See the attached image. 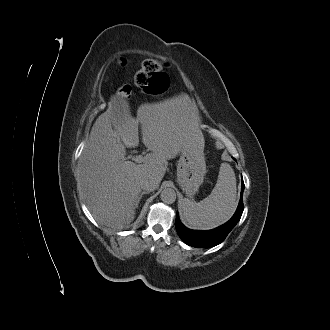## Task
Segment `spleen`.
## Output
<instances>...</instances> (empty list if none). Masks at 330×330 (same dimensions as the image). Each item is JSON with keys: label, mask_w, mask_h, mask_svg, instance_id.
<instances>
[{"label": "spleen", "mask_w": 330, "mask_h": 330, "mask_svg": "<svg viewBox=\"0 0 330 330\" xmlns=\"http://www.w3.org/2000/svg\"><path fill=\"white\" fill-rule=\"evenodd\" d=\"M236 177L228 163H222L211 194L200 202L185 198L181 203L184 224L191 229H213L226 221L236 209Z\"/></svg>", "instance_id": "3e777b00"}]
</instances>
